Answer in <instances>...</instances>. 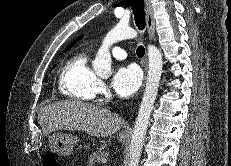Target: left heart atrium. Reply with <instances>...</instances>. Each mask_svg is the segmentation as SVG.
Wrapping results in <instances>:
<instances>
[{
	"label": "left heart atrium",
	"mask_w": 231,
	"mask_h": 166,
	"mask_svg": "<svg viewBox=\"0 0 231 166\" xmlns=\"http://www.w3.org/2000/svg\"><path fill=\"white\" fill-rule=\"evenodd\" d=\"M142 75L140 69L133 65L120 66L114 73L111 85L114 91L122 97L134 94L141 85Z\"/></svg>",
	"instance_id": "1"
}]
</instances>
